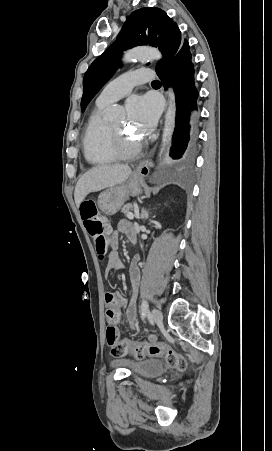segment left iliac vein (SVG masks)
<instances>
[{
	"label": "left iliac vein",
	"instance_id": "obj_1",
	"mask_svg": "<svg viewBox=\"0 0 272 451\" xmlns=\"http://www.w3.org/2000/svg\"><path fill=\"white\" fill-rule=\"evenodd\" d=\"M151 317L154 322L161 323L163 321V314L160 310L154 308L151 313Z\"/></svg>",
	"mask_w": 272,
	"mask_h": 451
}]
</instances>
